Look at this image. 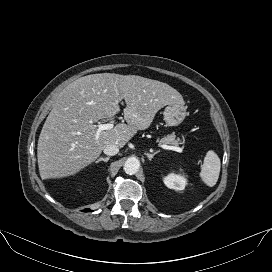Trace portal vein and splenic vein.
Masks as SVG:
<instances>
[{
    "mask_svg": "<svg viewBox=\"0 0 272 272\" xmlns=\"http://www.w3.org/2000/svg\"><path fill=\"white\" fill-rule=\"evenodd\" d=\"M97 127V131H96V139L99 138V135L102 131H105V130H111L113 129L114 125L113 123L109 122V123H106V124H101V123H98L96 125ZM163 149H166V150H173V151H176V152H179V153H182L183 150L182 148L180 147H177V146H170V145H166V144H161L160 145Z\"/></svg>",
    "mask_w": 272,
    "mask_h": 272,
    "instance_id": "1",
    "label": "portal vein and splenic vein"
}]
</instances>
